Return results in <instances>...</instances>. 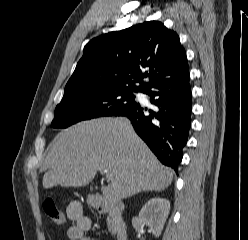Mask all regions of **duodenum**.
I'll use <instances>...</instances> for the list:
<instances>
[{
  "instance_id": "duodenum-1",
  "label": "duodenum",
  "mask_w": 248,
  "mask_h": 240,
  "mask_svg": "<svg viewBox=\"0 0 248 240\" xmlns=\"http://www.w3.org/2000/svg\"><path fill=\"white\" fill-rule=\"evenodd\" d=\"M93 207L100 214H109L111 216L116 240H128L127 226L121 219L124 206L120 201L108 200L96 196L93 201Z\"/></svg>"
}]
</instances>
